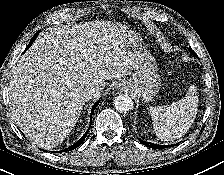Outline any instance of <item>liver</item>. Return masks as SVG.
<instances>
[{
	"label": "liver",
	"instance_id": "6515ba94",
	"mask_svg": "<svg viewBox=\"0 0 224 175\" xmlns=\"http://www.w3.org/2000/svg\"><path fill=\"white\" fill-rule=\"evenodd\" d=\"M130 35L127 26L111 21L74 24L49 30L21 56L10 104L13 120L33 144L51 149L62 143L88 101L84 90L95 87L101 94L106 80L131 74Z\"/></svg>",
	"mask_w": 224,
	"mask_h": 175
}]
</instances>
